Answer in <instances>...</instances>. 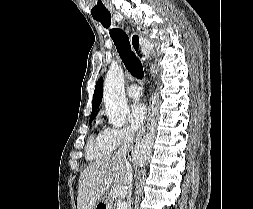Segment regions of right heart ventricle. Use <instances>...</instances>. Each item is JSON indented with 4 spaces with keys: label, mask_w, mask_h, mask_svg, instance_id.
<instances>
[{
    "label": "right heart ventricle",
    "mask_w": 253,
    "mask_h": 209,
    "mask_svg": "<svg viewBox=\"0 0 253 209\" xmlns=\"http://www.w3.org/2000/svg\"><path fill=\"white\" fill-rule=\"evenodd\" d=\"M112 150L105 139L104 131H100L90 137L86 154L88 159L98 160L109 156Z\"/></svg>",
    "instance_id": "obj_1"
}]
</instances>
